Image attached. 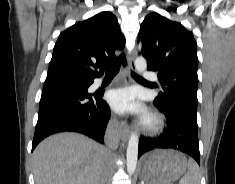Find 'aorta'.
Segmentation results:
<instances>
[{"label": "aorta", "instance_id": "762f6f07", "mask_svg": "<svg viewBox=\"0 0 235 184\" xmlns=\"http://www.w3.org/2000/svg\"><path fill=\"white\" fill-rule=\"evenodd\" d=\"M135 68L137 72H145L147 68V62L145 58H136ZM138 142L139 138L137 134H131L128 140L127 146V172L128 174H134L136 170L137 158H138Z\"/></svg>", "mask_w": 235, "mask_h": 184}]
</instances>
